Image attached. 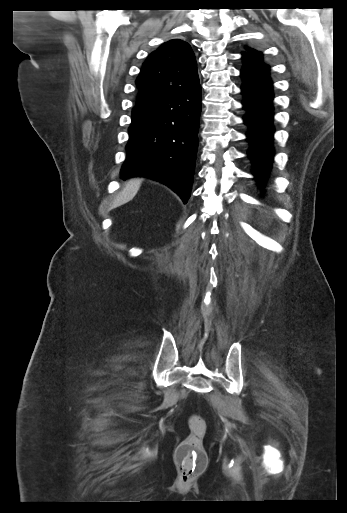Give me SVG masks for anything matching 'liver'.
<instances>
[{"label":"liver","mask_w":347,"mask_h":513,"mask_svg":"<svg viewBox=\"0 0 347 513\" xmlns=\"http://www.w3.org/2000/svg\"><path fill=\"white\" fill-rule=\"evenodd\" d=\"M141 179L139 178H133L129 180L123 189V191L119 194V196L114 200L112 207L116 208L119 207L129 201H131L135 195L137 194L140 185H141Z\"/></svg>","instance_id":"1"}]
</instances>
